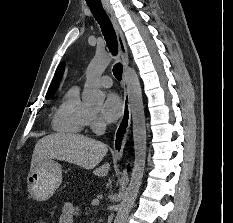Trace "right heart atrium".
Here are the masks:
<instances>
[{
  "label": "right heart atrium",
  "mask_w": 233,
  "mask_h": 223,
  "mask_svg": "<svg viewBox=\"0 0 233 223\" xmlns=\"http://www.w3.org/2000/svg\"><path fill=\"white\" fill-rule=\"evenodd\" d=\"M88 126L95 132L101 133L105 130L106 125L103 119L94 111L89 113Z\"/></svg>",
  "instance_id": "1"
}]
</instances>
